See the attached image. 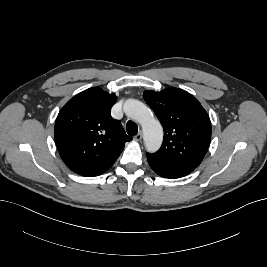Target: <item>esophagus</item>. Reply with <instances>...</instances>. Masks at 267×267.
<instances>
[{"label":"esophagus","mask_w":267,"mask_h":267,"mask_svg":"<svg viewBox=\"0 0 267 267\" xmlns=\"http://www.w3.org/2000/svg\"><path fill=\"white\" fill-rule=\"evenodd\" d=\"M141 139H142V133L139 132V133L134 137V140L137 141V142H139V141H141Z\"/></svg>","instance_id":"34e87169"}]
</instances>
